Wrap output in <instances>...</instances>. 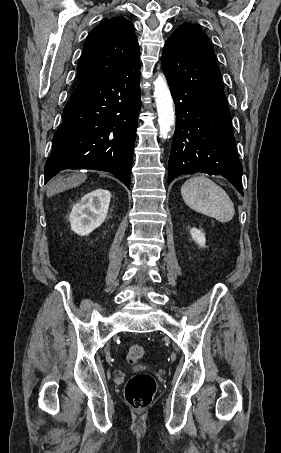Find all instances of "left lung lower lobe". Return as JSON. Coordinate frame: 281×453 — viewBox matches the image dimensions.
Wrapping results in <instances>:
<instances>
[{
    "mask_svg": "<svg viewBox=\"0 0 281 453\" xmlns=\"http://www.w3.org/2000/svg\"><path fill=\"white\" fill-rule=\"evenodd\" d=\"M162 67L176 106L168 183L181 174L222 175L243 195L231 115L215 54L166 41Z\"/></svg>",
    "mask_w": 281,
    "mask_h": 453,
    "instance_id": "0a47b994",
    "label": "left lung lower lobe"
}]
</instances>
